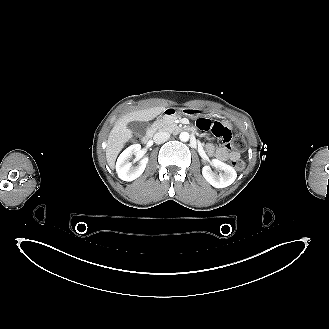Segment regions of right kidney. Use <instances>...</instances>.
Masks as SVG:
<instances>
[{"label":"right kidney","mask_w":329,"mask_h":329,"mask_svg":"<svg viewBox=\"0 0 329 329\" xmlns=\"http://www.w3.org/2000/svg\"><path fill=\"white\" fill-rule=\"evenodd\" d=\"M141 150L140 144H134L126 148L118 157L116 162V172L118 177L124 181H133L144 172L148 163V158L141 159L138 166H133L129 160L132 155H138Z\"/></svg>","instance_id":"ca27d5eb"}]
</instances>
